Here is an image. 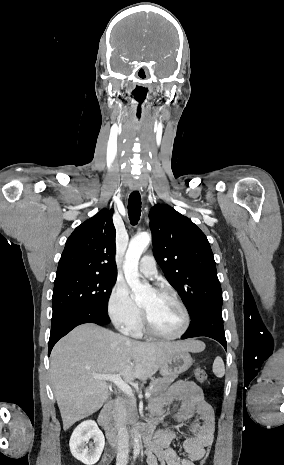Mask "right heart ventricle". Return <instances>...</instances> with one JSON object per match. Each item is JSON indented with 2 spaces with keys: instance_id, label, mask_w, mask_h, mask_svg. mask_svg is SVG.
<instances>
[{
  "instance_id": "right-heart-ventricle-1",
  "label": "right heart ventricle",
  "mask_w": 284,
  "mask_h": 465,
  "mask_svg": "<svg viewBox=\"0 0 284 465\" xmlns=\"http://www.w3.org/2000/svg\"><path fill=\"white\" fill-rule=\"evenodd\" d=\"M140 322H141V319H139V321H138V324H139V325H140ZM138 324H137V325H138ZM137 325H136V326H137ZM136 326L133 327V328H131V329H129V330H128V333L133 334V335L138 334V333L140 332V330H139L138 328H136Z\"/></svg>"
}]
</instances>
